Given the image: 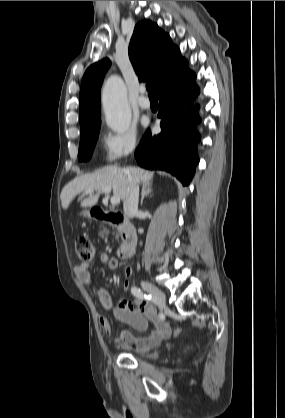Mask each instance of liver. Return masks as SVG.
Masks as SVG:
<instances>
[{
	"instance_id": "liver-1",
	"label": "liver",
	"mask_w": 285,
	"mask_h": 418,
	"mask_svg": "<svg viewBox=\"0 0 285 418\" xmlns=\"http://www.w3.org/2000/svg\"><path fill=\"white\" fill-rule=\"evenodd\" d=\"M130 176L137 184H150L153 179V172L145 171L139 167L120 168L118 166H107L94 173L79 176L69 182L61 192V205L67 209L72 200L88 189L93 191L89 197L81 201V207H93L97 204L101 189L110 187L114 196L124 199L127 193V178ZM94 191L96 193L94 194Z\"/></svg>"
}]
</instances>
